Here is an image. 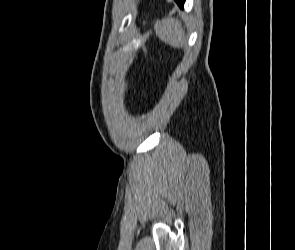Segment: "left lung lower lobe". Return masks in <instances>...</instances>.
Masks as SVG:
<instances>
[{"label":"left lung lower lobe","instance_id":"obj_1","mask_svg":"<svg viewBox=\"0 0 295 250\" xmlns=\"http://www.w3.org/2000/svg\"><path fill=\"white\" fill-rule=\"evenodd\" d=\"M175 1L181 8H183L185 0H175Z\"/></svg>","mask_w":295,"mask_h":250}]
</instances>
